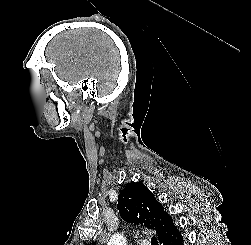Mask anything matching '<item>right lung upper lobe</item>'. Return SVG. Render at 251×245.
<instances>
[{"mask_svg": "<svg viewBox=\"0 0 251 245\" xmlns=\"http://www.w3.org/2000/svg\"><path fill=\"white\" fill-rule=\"evenodd\" d=\"M120 216L128 223L153 229L162 243L177 228L152 192L142 183H129L118 196ZM88 245H96V241Z\"/></svg>", "mask_w": 251, "mask_h": 245, "instance_id": "obj_1", "label": "right lung upper lobe"}]
</instances>
